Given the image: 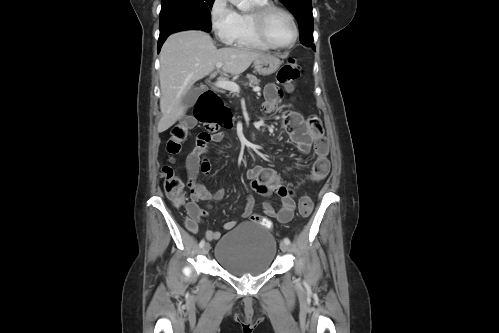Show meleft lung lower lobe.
I'll return each mask as SVG.
<instances>
[{"label":"left lung lower lobe","mask_w":499,"mask_h":333,"mask_svg":"<svg viewBox=\"0 0 499 333\" xmlns=\"http://www.w3.org/2000/svg\"><path fill=\"white\" fill-rule=\"evenodd\" d=\"M302 43L305 46H311L313 49H315V46L313 45V43H309V42H302Z\"/></svg>","instance_id":"left-lung-lower-lobe-1"}]
</instances>
